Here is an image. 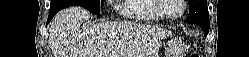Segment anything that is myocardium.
Here are the masks:
<instances>
[{
	"instance_id": "obj_1",
	"label": "myocardium",
	"mask_w": 249,
	"mask_h": 57,
	"mask_svg": "<svg viewBox=\"0 0 249 57\" xmlns=\"http://www.w3.org/2000/svg\"><path fill=\"white\" fill-rule=\"evenodd\" d=\"M179 3L181 5V10L177 15L170 16L166 13V9L168 7V1L167 0H157V10L159 13L163 16V18L168 20H177L183 16L186 10V1L185 0H179Z\"/></svg>"
}]
</instances>
